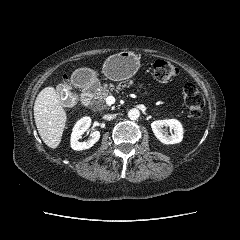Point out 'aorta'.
<instances>
[{
  "label": "aorta",
  "mask_w": 240,
  "mask_h": 240,
  "mask_svg": "<svg viewBox=\"0 0 240 240\" xmlns=\"http://www.w3.org/2000/svg\"><path fill=\"white\" fill-rule=\"evenodd\" d=\"M139 116H140V111L136 108L130 109L128 112V117L131 120H136L139 118Z\"/></svg>",
  "instance_id": "762f6f07"
}]
</instances>
